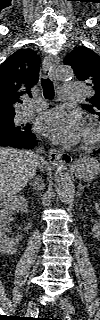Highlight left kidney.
<instances>
[{"label":"left kidney","instance_id":"obj_1","mask_svg":"<svg viewBox=\"0 0 100 320\" xmlns=\"http://www.w3.org/2000/svg\"><path fill=\"white\" fill-rule=\"evenodd\" d=\"M93 234H94V237L99 238V236H100V231H99L98 226H94V228H93Z\"/></svg>","mask_w":100,"mask_h":320}]
</instances>
